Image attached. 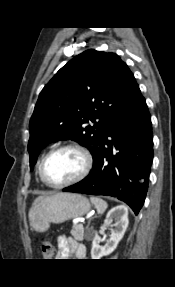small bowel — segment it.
Instances as JSON below:
<instances>
[{
  "instance_id": "obj_1",
  "label": "small bowel",
  "mask_w": 175,
  "mask_h": 287,
  "mask_svg": "<svg viewBox=\"0 0 175 287\" xmlns=\"http://www.w3.org/2000/svg\"><path fill=\"white\" fill-rule=\"evenodd\" d=\"M57 244H58L57 256L60 259H67L73 257L77 260H82L85 259L86 257V247L72 238L59 236L57 238Z\"/></svg>"
}]
</instances>
